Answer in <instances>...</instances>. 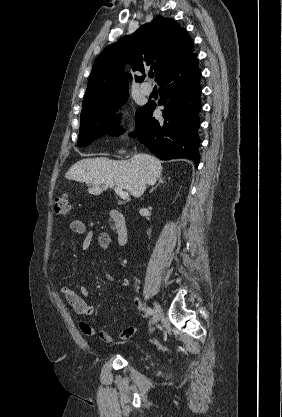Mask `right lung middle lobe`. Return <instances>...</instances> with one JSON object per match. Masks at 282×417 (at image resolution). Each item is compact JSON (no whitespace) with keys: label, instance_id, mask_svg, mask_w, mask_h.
Segmentation results:
<instances>
[{"label":"right lung middle lobe","instance_id":"right-lung-middle-lobe-1","mask_svg":"<svg viewBox=\"0 0 282 417\" xmlns=\"http://www.w3.org/2000/svg\"><path fill=\"white\" fill-rule=\"evenodd\" d=\"M127 96V91H121L83 99L78 146L85 147L104 135L117 137L122 133L118 128V117L114 112L126 102ZM141 109L137 111L136 117Z\"/></svg>","mask_w":282,"mask_h":417}]
</instances>
